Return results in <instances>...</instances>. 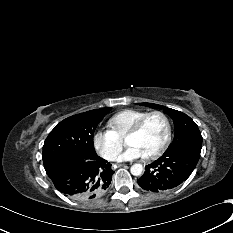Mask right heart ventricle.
<instances>
[{"label": "right heart ventricle", "mask_w": 233, "mask_h": 233, "mask_svg": "<svg viewBox=\"0 0 233 233\" xmlns=\"http://www.w3.org/2000/svg\"><path fill=\"white\" fill-rule=\"evenodd\" d=\"M146 113L147 111L139 109L122 110L109 119L108 126L117 137L122 139L126 132Z\"/></svg>", "instance_id": "e07e8e85"}]
</instances>
